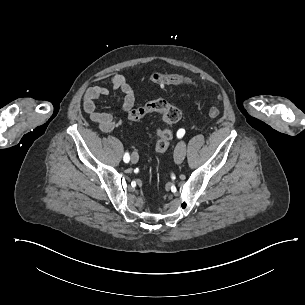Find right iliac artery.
<instances>
[{"mask_svg":"<svg viewBox=\"0 0 305 305\" xmlns=\"http://www.w3.org/2000/svg\"><path fill=\"white\" fill-rule=\"evenodd\" d=\"M124 162H126V163H128L129 162V160H130V156H129V154L128 153H125V155H124Z\"/></svg>","mask_w":305,"mask_h":305,"instance_id":"obj_1","label":"right iliac artery"}]
</instances>
